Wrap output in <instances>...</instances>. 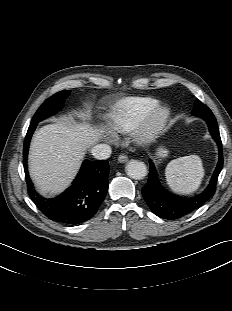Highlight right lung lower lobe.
I'll return each instance as SVG.
<instances>
[{
    "mask_svg": "<svg viewBox=\"0 0 232 311\" xmlns=\"http://www.w3.org/2000/svg\"><path fill=\"white\" fill-rule=\"evenodd\" d=\"M37 123L30 124L24 142V171L28 193L39 210L49 219L77 225L93 217L103 202L108 186V161H84L72 185L61 195L45 199L36 193L27 171V156Z\"/></svg>",
    "mask_w": 232,
    "mask_h": 311,
    "instance_id": "right-lung-lower-lobe-1",
    "label": "right lung lower lobe"
}]
</instances>
